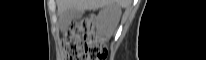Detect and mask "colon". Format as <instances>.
<instances>
[{"instance_id":"colon-1","label":"colon","mask_w":206,"mask_h":60,"mask_svg":"<svg viewBox=\"0 0 206 60\" xmlns=\"http://www.w3.org/2000/svg\"><path fill=\"white\" fill-rule=\"evenodd\" d=\"M95 19L86 16L71 25L63 38V55L66 60H102L107 50L100 45L94 31Z\"/></svg>"}]
</instances>
